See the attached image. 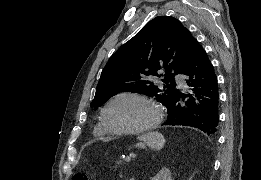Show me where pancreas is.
<instances>
[{"label": "pancreas", "mask_w": 261, "mask_h": 180, "mask_svg": "<svg viewBox=\"0 0 261 180\" xmlns=\"http://www.w3.org/2000/svg\"><path fill=\"white\" fill-rule=\"evenodd\" d=\"M114 166H115V170H124L125 169V166L122 163V159H115Z\"/></svg>", "instance_id": "1"}]
</instances>
